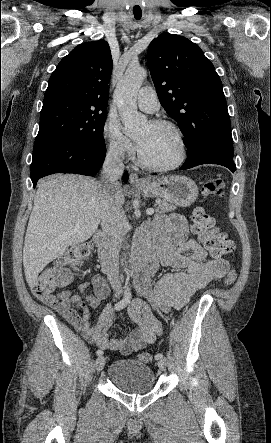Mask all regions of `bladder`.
Segmentation results:
<instances>
[{
	"mask_svg": "<svg viewBox=\"0 0 271 443\" xmlns=\"http://www.w3.org/2000/svg\"><path fill=\"white\" fill-rule=\"evenodd\" d=\"M110 381L122 392L144 394L155 386L153 369L134 359H118L108 369Z\"/></svg>",
	"mask_w": 271,
	"mask_h": 443,
	"instance_id": "1",
	"label": "bladder"
}]
</instances>
